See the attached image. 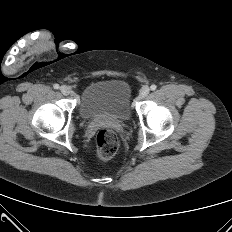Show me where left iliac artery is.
Instances as JSON below:
<instances>
[{"mask_svg": "<svg viewBox=\"0 0 232 232\" xmlns=\"http://www.w3.org/2000/svg\"><path fill=\"white\" fill-rule=\"evenodd\" d=\"M150 88H151L152 91H154V90H156L157 86H156L155 84H152V85L150 86Z\"/></svg>", "mask_w": 232, "mask_h": 232, "instance_id": "obj_1", "label": "left iliac artery"}]
</instances>
